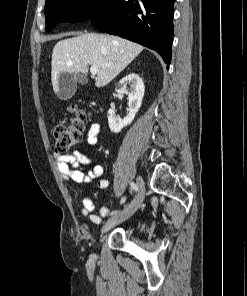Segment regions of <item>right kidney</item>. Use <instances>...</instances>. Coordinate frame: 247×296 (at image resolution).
Returning a JSON list of instances; mask_svg holds the SVG:
<instances>
[{
    "mask_svg": "<svg viewBox=\"0 0 247 296\" xmlns=\"http://www.w3.org/2000/svg\"><path fill=\"white\" fill-rule=\"evenodd\" d=\"M128 85L130 86L129 89ZM144 91V83L138 74L130 73L119 81L118 92L128 95L129 112L122 119L115 114L113 109H109L108 123L112 132H120L123 127L129 125L134 120L136 113L141 107Z\"/></svg>",
    "mask_w": 247,
    "mask_h": 296,
    "instance_id": "right-kidney-1",
    "label": "right kidney"
}]
</instances>
